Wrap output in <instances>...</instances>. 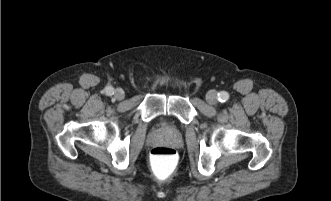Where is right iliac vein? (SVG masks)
Returning <instances> with one entry per match:
<instances>
[{
    "label": "right iliac vein",
    "mask_w": 331,
    "mask_h": 201,
    "mask_svg": "<svg viewBox=\"0 0 331 201\" xmlns=\"http://www.w3.org/2000/svg\"><path fill=\"white\" fill-rule=\"evenodd\" d=\"M114 97H115L117 100H122V99H124V97H125V93H124V91H123L121 88H117V89L115 90Z\"/></svg>",
    "instance_id": "right-iliac-vein-1"
}]
</instances>
